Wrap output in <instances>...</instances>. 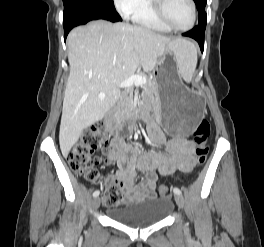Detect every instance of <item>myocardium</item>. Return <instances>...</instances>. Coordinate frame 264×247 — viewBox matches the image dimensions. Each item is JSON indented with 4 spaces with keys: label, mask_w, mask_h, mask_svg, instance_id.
<instances>
[{
    "label": "myocardium",
    "mask_w": 264,
    "mask_h": 247,
    "mask_svg": "<svg viewBox=\"0 0 264 247\" xmlns=\"http://www.w3.org/2000/svg\"><path fill=\"white\" fill-rule=\"evenodd\" d=\"M150 1H151V9L155 17L170 30L177 32L187 31L195 25L197 19V9L194 0H188L191 5L192 18L189 25L185 27L175 26L168 20L164 11V2H165L164 0H150Z\"/></svg>",
    "instance_id": "obj_1"
}]
</instances>
